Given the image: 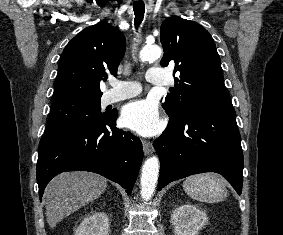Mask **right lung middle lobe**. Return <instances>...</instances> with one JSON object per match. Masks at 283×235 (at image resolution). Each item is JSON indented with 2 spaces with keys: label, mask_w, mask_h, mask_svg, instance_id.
I'll return each instance as SVG.
<instances>
[{
  "label": "right lung middle lobe",
  "mask_w": 283,
  "mask_h": 235,
  "mask_svg": "<svg viewBox=\"0 0 283 235\" xmlns=\"http://www.w3.org/2000/svg\"><path fill=\"white\" fill-rule=\"evenodd\" d=\"M101 97H74L53 102L44 137L103 118Z\"/></svg>",
  "instance_id": "obj_1"
}]
</instances>
